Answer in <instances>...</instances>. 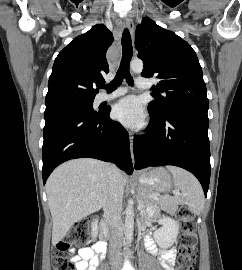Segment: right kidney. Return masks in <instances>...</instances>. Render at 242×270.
<instances>
[{
  "label": "right kidney",
  "mask_w": 242,
  "mask_h": 270,
  "mask_svg": "<svg viewBox=\"0 0 242 270\" xmlns=\"http://www.w3.org/2000/svg\"><path fill=\"white\" fill-rule=\"evenodd\" d=\"M91 228H92V236L96 237L98 234V220L94 219L93 222L91 223Z\"/></svg>",
  "instance_id": "obj_1"
}]
</instances>
